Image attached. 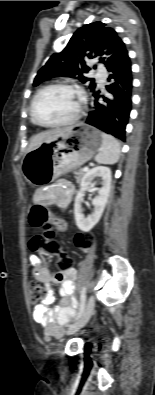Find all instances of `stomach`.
Returning a JSON list of instances; mask_svg holds the SVG:
<instances>
[{
  "label": "stomach",
  "instance_id": "stomach-1",
  "mask_svg": "<svg viewBox=\"0 0 155 395\" xmlns=\"http://www.w3.org/2000/svg\"><path fill=\"white\" fill-rule=\"evenodd\" d=\"M102 133L83 123L60 130L49 142L27 152L24 178L34 186L53 182L61 174L89 161L102 145Z\"/></svg>",
  "mask_w": 155,
  "mask_h": 395
}]
</instances>
